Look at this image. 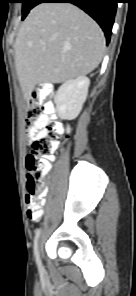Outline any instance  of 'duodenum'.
Returning <instances> with one entry per match:
<instances>
[{"instance_id": "duodenum-1", "label": "duodenum", "mask_w": 136, "mask_h": 296, "mask_svg": "<svg viewBox=\"0 0 136 296\" xmlns=\"http://www.w3.org/2000/svg\"><path fill=\"white\" fill-rule=\"evenodd\" d=\"M46 92H47V86L45 84H43V85H40V87L37 89L36 94H37L38 98L41 99L44 97Z\"/></svg>"}]
</instances>
